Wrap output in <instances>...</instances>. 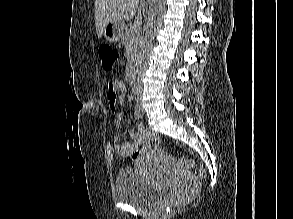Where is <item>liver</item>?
Instances as JSON below:
<instances>
[{
	"instance_id": "liver-1",
	"label": "liver",
	"mask_w": 293,
	"mask_h": 219,
	"mask_svg": "<svg viewBox=\"0 0 293 219\" xmlns=\"http://www.w3.org/2000/svg\"><path fill=\"white\" fill-rule=\"evenodd\" d=\"M140 0H96L95 26L97 36L103 35V30L109 22H123L135 16V23H142V10L138 8ZM137 13V14H136Z\"/></svg>"
}]
</instances>
